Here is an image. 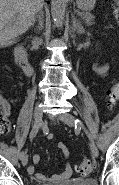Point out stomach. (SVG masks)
Wrapping results in <instances>:
<instances>
[{
    "instance_id": "1",
    "label": "stomach",
    "mask_w": 119,
    "mask_h": 185,
    "mask_svg": "<svg viewBox=\"0 0 119 185\" xmlns=\"http://www.w3.org/2000/svg\"><path fill=\"white\" fill-rule=\"evenodd\" d=\"M96 0H76L77 6L83 11H89L94 8Z\"/></svg>"
}]
</instances>
